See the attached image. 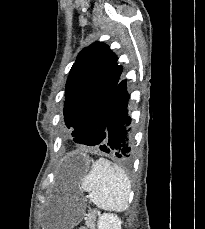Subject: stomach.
I'll list each match as a JSON object with an SVG mask.
<instances>
[{"label": "stomach", "instance_id": "obj_1", "mask_svg": "<svg viewBox=\"0 0 205 229\" xmlns=\"http://www.w3.org/2000/svg\"><path fill=\"white\" fill-rule=\"evenodd\" d=\"M89 161L87 157H81V172L87 171ZM81 217L82 211L80 208L64 203L59 199L44 206L41 212L40 224L42 229H73L78 225Z\"/></svg>", "mask_w": 205, "mask_h": 229}]
</instances>
